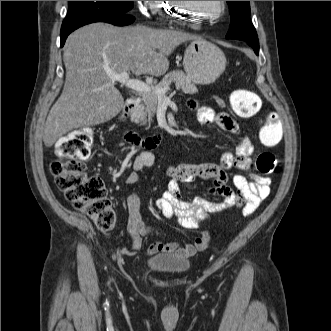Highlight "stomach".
I'll use <instances>...</instances> for the list:
<instances>
[{
	"mask_svg": "<svg viewBox=\"0 0 331 331\" xmlns=\"http://www.w3.org/2000/svg\"><path fill=\"white\" fill-rule=\"evenodd\" d=\"M183 66L193 82L210 84L225 70L226 57L215 44L196 39L185 50Z\"/></svg>",
	"mask_w": 331,
	"mask_h": 331,
	"instance_id": "obj_1",
	"label": "stomach"
}]
</instances>
